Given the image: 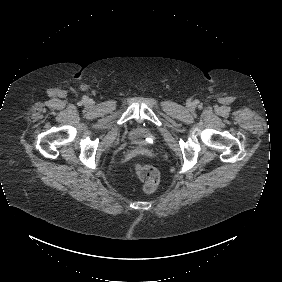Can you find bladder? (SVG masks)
Segmentation results:
<instances>
[{
  "label": "bladder",
  "mask_w": 282,
  "mask_h": 282,
  "mask_svg": "<svg viewBox=\"0 0 282 282\" xmlns=\"http://www.w3.org/2000/svg\"><path fill=\"white\" fill-rule=\"evenodd\" d=\"M130 141L139 146H150L155 141V134L148 128L137 126L129 134Z\"/></svg>",
  "instance_id": "bladder-1"
}]
</instances>
